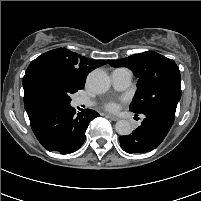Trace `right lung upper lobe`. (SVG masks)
Here are the masks:
<instances>
[{
  "instance_id": "cb5924a9",
  "label": "right lung upper lobe",
  "mask_w": 201,
  "mask_h": 201,
  "mask_svg": "<svg viewBox=\"0 0 201 201\" xmlns=\"http://www.w3.org/2000/svg\"><path fill=\"white\" fill-rule=\"evenodd\" d=\"M104 64H107V62L103 60H92L63 48L48 51L37 57L28 66L23 77L24 95L32 91L30 80L41 68L53 67L70 81L84 88L88 73Z\"/></svg>"
}]
</instances>
